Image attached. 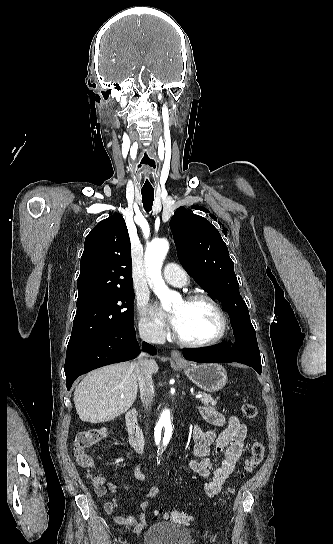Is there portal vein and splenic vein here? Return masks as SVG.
I'll return each instance as SVG.
<instances>
[{
    "label": "portal vein and splenic vein",
    "mask_w": 333,
    "mask_h": 544,
    "mask_svg": "<svg viewBox=\"0 0 333 544\" xmlns=\"http://www.w3.org/2000/svg\"><path fill=\"white\" fill-rule=\"evenodd\" d=\"M123 397H124V395H121V398H123ZM202 397H203V395L200 394V393H198L197 395H195V398H197V399H200V398H202Z\"/></svg>",
    "instance_id": "obj_1"
}]
</instances>
